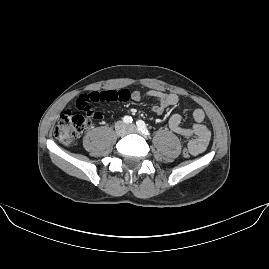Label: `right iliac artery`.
I'll return each instance as SVG.
<instances>
[{
	"label": "right iliac artery",
	"mask_w": 269,
	"mask_h": 269,
	"mask_svg": "<svg viewBox=\"0 0 269 269\" xmlns=\"http://www.w3.org/2000/svg\"><path fill=\"white\" fill-rule=\"evenodd\" d=\"M123 121H124L125 123H132L133 119H132L131 116H125V117L123 118Z\"/></svg>",
	"instance_id": "obj_1"
}]
</instances>
